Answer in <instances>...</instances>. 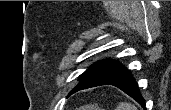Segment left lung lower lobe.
<instances>
[{
	"instance_id": "left-lung-lower-lobe-1",
	"label": "left lung lower lobe",
	"mask_w": 171,
	"mask_h": 110,
	"mask_svg": "<svg viewBox=\"0 0 171 110\" xmlns=\"http://www.w3.org/2000/svg\"><path fill=\"white\" fill-rule=\"evenodd\" d=\"M100 85H113L124 91L130 97L135 99L142 107L145 108V100L141 97L138 90V84L133 76L121 64L115 68L108 70L96 79L76 86L69 95L86 88Z\"/></svg>"
}]
</instances>
